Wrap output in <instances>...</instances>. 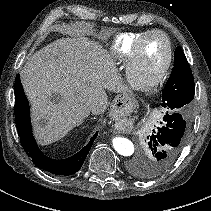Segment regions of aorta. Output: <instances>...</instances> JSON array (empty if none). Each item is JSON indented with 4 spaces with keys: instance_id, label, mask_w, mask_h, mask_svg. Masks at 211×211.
Wrapping results in <instances>:
<instances>
[{
    "instance_id": "obj_1",
    "label": "aorta",
    "mask_w": 211,
    "mask_h": 211,
    "mask_svg": "<svg viewBox=\"0 0 211 211\" xmlns=\"http://www.w3.org/2000/svg\"><path fill=\"white\" fill-rule=\"evenodd\" d=\"M112 143L114 149L122 156H131L134 153V145L127 138L115 137Z\"/></svg>"
}]
</instances>
